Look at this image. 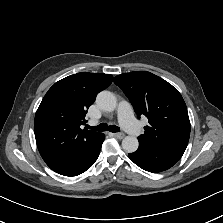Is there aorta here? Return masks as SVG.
Instances as JSON below:
<instances>
[{
    "instance_id": "obj_1",
    "label": "aorta",
    "mask_w": 223,
    "mask_h": 223,
    "mask_svg": "<svg viewBox=\"0 0 223 223\" xmlns=\"http://www.w3.org/2000/svg\"><path fill=\"white\" fill-rule=\"evenodd\" d=\"M96 105L102 111L112 112L116 108L117 100L112 92L104 90L97 95ZM138 146L139 142L137 138H134L132 136H126L122 140V148L128 153L135 152L138 149Z\"/></svg>"
}]
</instances>
